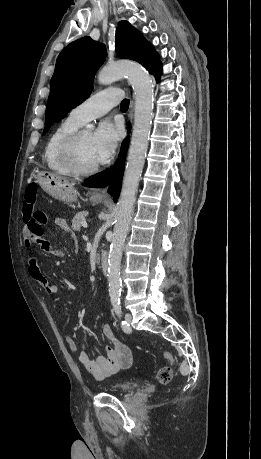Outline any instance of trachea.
Wrapping results in <instances>:
<instances>
[{"instance_id":"1","label":"trachea","mask_w":261,"mask_h":459,"mask_svg":"<svg viewBox=\"0 0 261 459\" xmlns=\"http://www.w3.org/2000/svg\"><path fill=\"white\" fill-rule=\"evenodd\" d=\"M128 107H129V100L128 99H124L121 102V110H127Z\"/></svg>"}]
</instances>
